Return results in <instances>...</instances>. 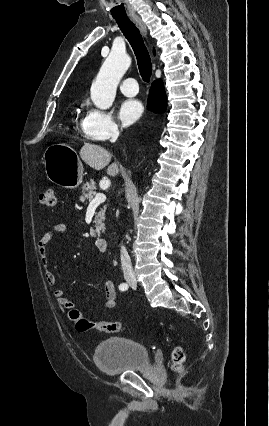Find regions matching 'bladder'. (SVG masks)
<instances>
[{"label":"bladder","mask_w":269,"mask_h":426,"mask_svg":"<svg viewBox=\"0 0 269 426\" xmlns=\"http://www.w3.org/2000/svg\"><path fill=\"white\" fill-rule=\"evenodd\" d=\"M93 360L108 375L136 371L149 366L145 346L124 337H111L100 342L94 350Z\"/></svg>","instance_id":"bladder-1"}]
</instances>
